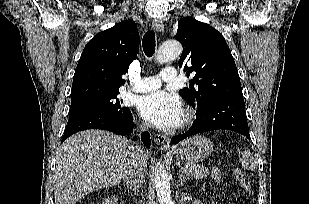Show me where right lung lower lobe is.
<instances>
[{
	"mask_svg": "<svg viewBox=\"0 0 309 204\" xmlns=\"http://www.w3.org/2000/svg\"><path fill=\"white\" fill-rule=\"evenodd\" d=\"M135 124L131 113L124 119H119L106 114H83L71 117L65 128L62 142L72 134L86 129H102L119 135H129L133 132ZM143 144L149 148L150 134L144 132L141 135Z\"/></svg>",
	"mask_w": 309,
	"mask_h": 204,
	"instance_id": "1",
	"label": "right lung lower lobe"
}]
</instances>
